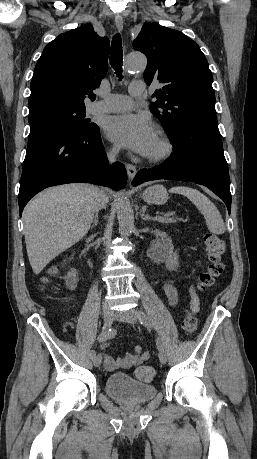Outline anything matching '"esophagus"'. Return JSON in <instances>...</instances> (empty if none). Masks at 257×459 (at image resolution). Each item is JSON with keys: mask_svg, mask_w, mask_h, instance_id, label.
<instances>
[{"mask_svg": "<svg viewBox=\"0 0 257 459\" xmlns=\"http://www.w3.org/2000/svg\"><path fill=\"white\" fill-rule=\"evenodd\" d=\"M115 24L119 31L123 30L124 22H123V18L121 17V15L117 14L115 16ZM126 170H127L128 177L132 180L137 173L136 167L128 163L126 164Z\"/></svg>", "mask_w": 257, "mask_h": 459, "instance_id": "34e87169", "label": "esophagus"}]
</instances>
